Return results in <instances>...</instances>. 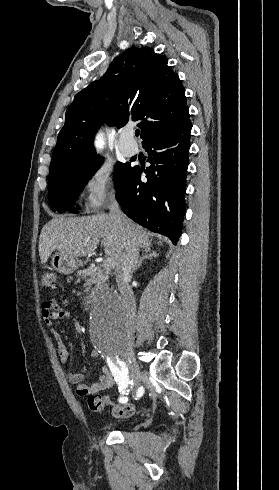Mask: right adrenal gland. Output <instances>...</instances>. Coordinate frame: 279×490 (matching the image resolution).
I'll return each mask as SVG.
<instances>
[{"mask_svg": "<svg viewBox=\"0 0 279 490\" xmlns=\"http://www.w3.org/2000/svg\"><path fill=\"white\" fill-rule=\"evenodd\" d=\"M143 252H145V254H144V256H142V258H140L137 266H135L134 272H135V270H140L144 260H152V258H156V256H159V254H156V252H153V250H151V248H144Z\"/></svg>", "mask_w": 279, "mask_h": 490, "instance_id": "right-adrenal-gland-1", "label": "right adrenal gland"}]
</instances>
